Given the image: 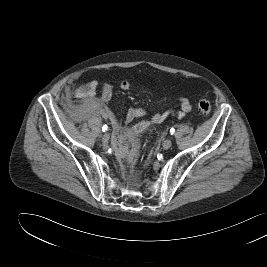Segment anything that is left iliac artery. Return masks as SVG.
I'll return each mask as SVG.
<instances>
[{
	"mask_svg": "<svg viewBox=\"0 0 267 267\" xmlns=\"http://www.w3.org/2000/svg\"><path fill=\"white\" fill-rule=\"evenodd\" d=\"M175 133V129L174 128H171L170 129V134L173 135Z\"/></svg>",
	"mask_w": 267,
	"mask_h": 267,
	"instance_id": "obj_1",
	"label": "left iliac artery"
}]
</instances>
